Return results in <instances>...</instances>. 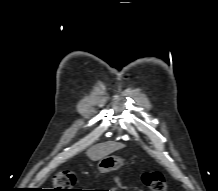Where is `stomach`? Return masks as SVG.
<instances>
[{"label":"stomach","mask_w":218,"mask_h":191,"mask_svg":"<svg viewBox=\"0 0 218 191\" xmlns=\"http://www.w3.org/2000/svg\"><path fill=\"white\" fill-rule=\"evenodd\" d=\"M124 165V160L117 156H106L99 160L98 170L101 173H107L111 171L118 170Z\"/></svg>","instance_id":"stomach-1"}]
</instances>
